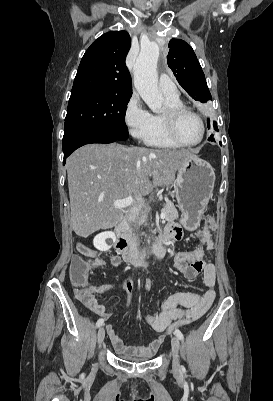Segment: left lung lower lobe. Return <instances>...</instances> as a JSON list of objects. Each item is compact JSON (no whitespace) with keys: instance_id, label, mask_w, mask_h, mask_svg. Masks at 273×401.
<instances>
[{"instance_id":"obj_1","label":"left lung lower lobe","mask_w":273,"mask_h":401,"mask_svg":"<svg viewBox=\"0 0 273 401\" xmlns=\"http://www.w3.org/2000/svg\"><path fill=\"white\" fill-rule=\"evenodd\" d=\"M207 125H208V128H210V120L207 121ZM214 128H215L216 131H218L217 125H216L215 122H214ZM208 140H209V141H214L213 135H211V136L208 138ZM219 144L221 145L222 143L219 142Z\"/></svg>"}]
</instances>
